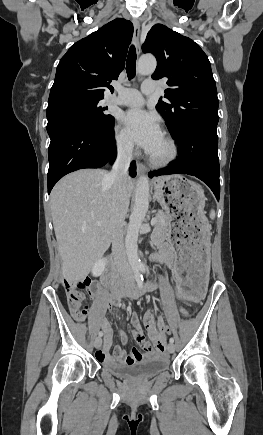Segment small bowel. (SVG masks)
I'll list each match as a JSON object with an SVG mask.
<instances>
[{"label":"small bowel","instance_id":"c3829d8e","mask_svg":"<svg viewBox=\"0 0 263 435\" xmlns=\"http://www.w3.org/2000/svg\"><path fill=\"white\" fill-rule=\"evenodd\" d=\"M155 242L160 247L158 261L165 269L171 271V264L176 256L174 247L168 243H165L160 237H156ZM108 304L111 305V303ZM181 312L186 314L184 309H181ZM130 321L133 325V337L144 350V353H141L136 348H133L129 353H126L122 347L118 345L113 346V334L110 322L106 318L102 317L98 320V327L104 336L103 348L97 353V358L99 361L105 363L133 364L156 355H164L165 350L168 348V343L167 341H164L167 338V335L165 334V326L162 318H156L152 312H146L143 316V324L148 330L150 341L153 343L147 340L144 336L140 326L139 318L135 313L131 315ZM120 338L123 344L128 342V338L124 333L120 334ZM112 347L113 350L111 352Z\"/></svg>","mask_w":263,"mask_h":435}]
</instances>
